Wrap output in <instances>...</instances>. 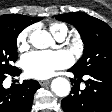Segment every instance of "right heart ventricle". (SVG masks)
<instances>
[{"label":"right heart ventricle","instance_id":"right-heart-ventricle-1","mask_svg":"<svg viewBox=\"0 0 112 112\" xmlns=\"http://www.w3.org/2000/svg\"><path fill=\"white\" fill-rule=\"evenodd\" d=\"M49 30L54 37L58 38L60 36H66L68 27L63 23L52 22L49 24Z\"/></svg>","mask_w":112,"mask_h":112}]
</instances>
